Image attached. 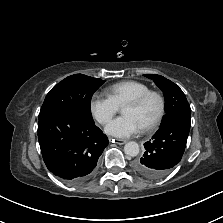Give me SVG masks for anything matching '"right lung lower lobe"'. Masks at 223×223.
<instances>
[{"instance_id": "1", "label": "right lung lower lobe", "mask_w": 223, "mask_h": 223, "mask_svg": "<svg viewBox=\"0 0 223 223\" xmlns=\"http://www.w3.org/2000/svg\"><path fill=\"white\" fill-rule=\"evenodd\" d=\"M38 140L50 172L71 184L89 178L108 138L87 119L73 110H60L39 119Z\"/></svg>"}]
</instances>
